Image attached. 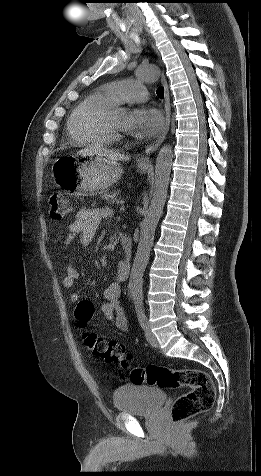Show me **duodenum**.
I'll use <instances>...</instances> for the list:
<instances>
[{
    "label": "duodenum",
    "instance_id": "1",
    "mask_svg": "<svg viewBox=\"0 0 261 476\" xmlns=\"http://www.w3.org/2000/svg\"><path fill=\"white\" fill-rule=\"evenodd\" d=\"M119 243L124 253L125 260L122 262L123 270L129 272L130 260L132 256V241L126 234H120Z\"/></svg>",
    "mask_w": 261,
    "mask_h": 476
}]
</instances>
